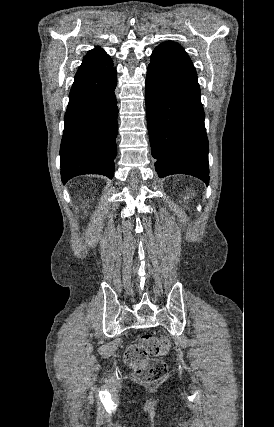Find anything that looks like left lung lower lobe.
<instances>
[{"label": "left lung lower lobe", "instance_id": "left-lung-lower-lobe-1", "mask_svg": "<svg viewBox=\"0 0 274 427\" xmlns=\"http://www.w3.org/2000/svg\"><path fill=\"white\" fill-rule=\"evenodd\" d=\"M146 113L158 177L195 176L209 183L208 138L196 70L184 49L164 42L152 53Z\"/></svg>", "mask_w": 274, "mask_h": 427}]
</instances>
